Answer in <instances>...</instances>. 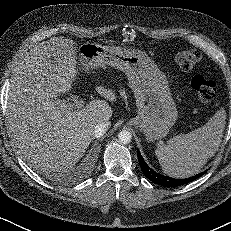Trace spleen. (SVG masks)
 I'll list each match as a JSON object with an SVG mask.
<instances>
[{"mask_svg":"<svg viewBox=\"0 0 231 231\" xmlns=\"http://www.w3.org/2000/svg\"><path fill=\"white\" fill-rule=\"evenodd\" d=\"M225 119L226 112L221 108L202 127L157 146L155 154L163 172L174 178L198 174L221 144Z\"/></svg>","mask_w":231,"mask_h":231,"instance_id":"3e777b00","label":"spleen"}]
</instances>
